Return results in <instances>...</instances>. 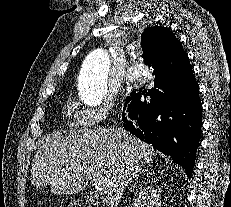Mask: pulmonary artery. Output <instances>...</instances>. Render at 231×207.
I'll return each mask as SVG.
<instances>
[{"label": "pulmonary artery", "mask_w": 231, "mask_h": 207, "mask_svg": "<svg viewBox=\"0 0 231 207\" xmlns=\"http://www.w3.org/2000/svg\"><path fill=\"white\" fill-rule=\"evenodd\" d=\"M140 76L139 71H134V68H130L128 74L125 76V80L128 82L133 81L134 79L138 78Z\"/></svg>", "instance_id": "1"}]
</instances>
